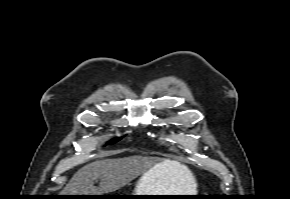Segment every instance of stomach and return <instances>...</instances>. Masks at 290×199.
<instances>
[{
  "mask_svg": "<svg viewBox=\"0 0 290 199\" xmlns=\"http://www.w3.org/2000/svg\"><path fill=\"white\" fill-rule=\"evenodd\" d=\"M158 166L153 167L144 173L135 187L134 193L131 195H174L168 189L166 182L159 177ZM134 198L142 199L143 196ZM151 199H164L163 197H152ZM171 199H180L179 197H171Z\"/></svg>",
  "mask_w": 290,
  "mask_h": 199,
  "instance_id": "0dacf381",
  "label": "stomach"
}]
</instances>
